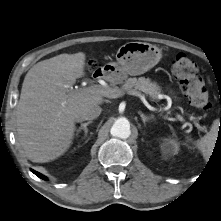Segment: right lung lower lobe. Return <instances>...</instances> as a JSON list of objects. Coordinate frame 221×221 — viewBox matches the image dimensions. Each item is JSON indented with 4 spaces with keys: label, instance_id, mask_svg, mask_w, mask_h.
Returning <instances> with one entry per match:
<instances>
[{
    "label": "right lung lower lobe",
    "instance_id": "right-lung-lower-lobe-1",
    "mask_svg": "<svg viewBox=\"0 0 221 221\" xmlns=\"http://www.w3.org/2000/svg\"><path fill=\"white\" fill-rule=\"evenodd\" d=\"M31 171H32L36 176H38L39 178L44 179V180L47 179V177H45L44 175L40 174L39 172H36V171H34V170H31Z\"/></svg>",
    "mask_w": 221,
    "mask_h": 221
}]
</instances>
